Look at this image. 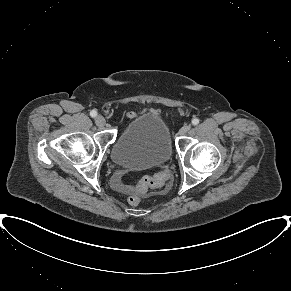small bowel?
Here are the masks:
<instances>
[{"label": "small bowel", "instance_id": "small-bowel-1", "mask_svg": "<svg viewBox=\"0 0 291 291\" xmlns=\"http://www.w3.org/2000/svg\"><path fill=\"white\" fill-rule=\"evenodd\" d=\"M155 113H159V111H155ZM134 115H135V113H133V112H128V113L126 114V116H127L128 118H132V117H134Z\"/></svg>", "mask_w": 291, "mask_h": 291}]
</instances>
